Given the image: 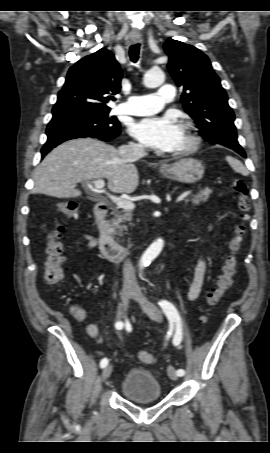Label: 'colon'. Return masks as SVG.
<instances>
[{
    "mask_svg": "<svg viewBox=\"0 0 270 453\" xmlns=\"http://www.w3.org/2000/svg\"><path fill=\"white\" fill-rule=\"evenodd\" d=\"M232 191L237 196V207L239 212V223L235 228L234 235L229 242V253L222 266L216 285L209 292L207 303L209 307L217 305L225 292L231 287L233 278L236 274L238 266V253L241 249L246 231L247 222L249 220V211L251 209V201L249 197V189L245 181L235 179L232 182ZM59 212L67 220L78 218L80 206L76 201H63L58 206ZM63 226L59 225L49 234L48 244L46 247L47 258L45 261V281L49 285H57L63 280V244L61 242ZM73 314L78 317L81 311L75 307ZM203 321H206L207 316H204ZM138 359L145 364L155 362V357L147 350L140 349L137 351Z\"/></svg>",
    "mask_w": 270,
    "mask_h": 453,
    "instance_id": "1",
    "label": "colon"
}]
</instances>
